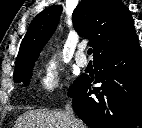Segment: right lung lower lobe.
Wrapping results in <instances>:
<instances>
[{
    "label": "right lung lower lobe",
    "instance_id": "obj_1",
    "mask_svg": "<svg viewBox=\"0 0 142 128\" xmlns=\"http://www.w3.org/2000/svg\"><path fill=\"white\" fill-rule=\"evenodd\" d=\"M97 72L91 88L87 77L71 93L78 117L91 128L142 127V50L139 42L94 61Z\"/></svg>",
    "mask_w": 142,
    "mask_h": 128
}]
</instances>
